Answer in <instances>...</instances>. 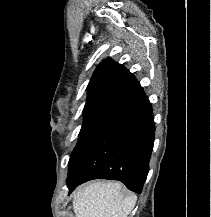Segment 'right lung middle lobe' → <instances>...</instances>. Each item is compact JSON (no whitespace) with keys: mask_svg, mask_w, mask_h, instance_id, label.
<instances>
[{"mask_svg":"<svg viewBox=\"0 0 211 217\" xmlns=\"http://www.w3.org/2000/svg\"><path fill=\"white\" fill-rule=\"evenodd\" d=\"M114 119L113 117H91L84 119L79 140L70 156L68 175L96 138Z\"/></svg>","mask_w":211,"mask_h":217,"instance_id":"right-lung-middle-lobe-1","label":"right lung middle lobe"}]
</instances>
